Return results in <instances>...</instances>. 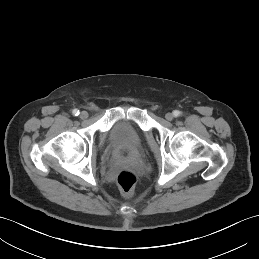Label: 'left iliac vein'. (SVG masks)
<instances>
[{"instance_id":"1","label":"left iliac vein","mask_w":259,"mask_h":259,"mask_svg":"<svg viewBox=\"0 0 259 259\" xmlns=\"http://www.w3.org/2000/svg\"><path fill=\"white\" fill-rule=\"evenodd\" d=\"M165 118L168 121H172L174 118V115L172 113L168 112V113H166Z\"/></svg>"}]
</instances>
